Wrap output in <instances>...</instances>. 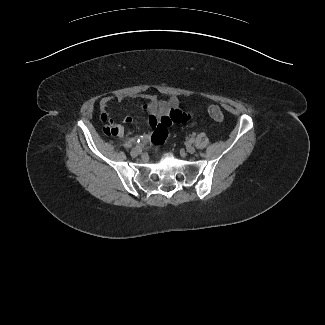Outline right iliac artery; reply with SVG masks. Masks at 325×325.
<instances>
[{"instance_id": "right-iliac-artery-1", "label": "right iliac artery", "mask_w": 325, "mask_h": 325, "mask_svg": "<svg viewBox=\"0 0 325 325\" xmlns=\"http://www.w3.org/2000/svg\"><path fill=\"white\" fill-rule=\"evenodd\" d=\"M124 146H125L126 148H130V147H132V143H131L130 141H128V142H126V143L124 144Z\"/></svg>"}]
</instances>
